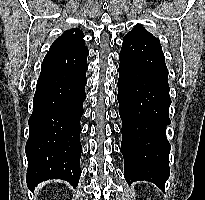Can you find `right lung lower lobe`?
Instances as JSON below:
<instances>
[{
	"label": "right lung lower lobe",
	"mask_w": 205,
	"mask_h": 200,
	"mask_svg": "<svg viewBox=\"0 0 205 200\" xmlns=\"http://www.w3.org/2000/svg\"><path fill=\"white\" fill-rule=\"evenodd\" d=\"M87 47L48 52L37 81L29 119L27 186L62 179L79 182L82 146L80 119L86 98Z\"/></svg>",
	"instance_id": "98d812e1"
}]
</instances>
